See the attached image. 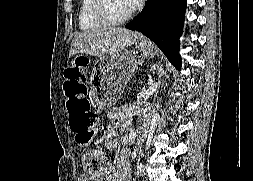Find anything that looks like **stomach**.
I'll return each mask as SVG.
<instances>
[{"instance_id":"0dacf381","label":"stomach","mask_w":253,"mask_h":181,"mask_svg":"<svg viewBox=\"0 0 253 181\" xmlns=\"http://www.w3.org/2000/svg\"><path fill=\"white\" fill-rule=\"evenodd\" d=\"M136 47L146 58H153L155 55L154 47L145 39L137 40ZM136 69L135 52L125 47L113 55L100 58L91 77L94 106L97 109L112 107Z\"/></svg>"}]
</instances>
